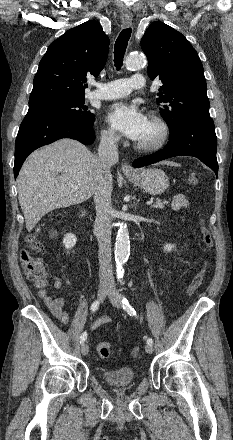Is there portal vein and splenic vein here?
Here are the masks:
<instances>
[{"mask_svg": "<svg viewBox=\"0 0 233 440\" xmlns=\"http://www.w3.org/2000/svg\"><path fill=\"white\" fill-rule=\"evenodd\" d=\"M74 188H75V189H78V186H75ZM146 204H147V205H152V204H153V201H148Z\"/></svg>", "mask_w": 233, "mask_h": 440, "instance_id": "1", "label": "portal vein and splenic vein"}]
</instances>
